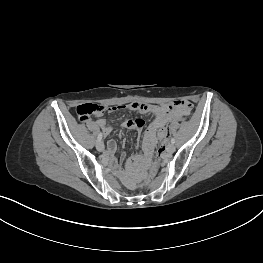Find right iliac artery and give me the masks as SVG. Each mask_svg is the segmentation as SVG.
<instances>
[{
    "label": "right iliac artery",
    "instance_id": "1",
    "mask_svg": "<svg viewBox=\"0 0 263 263\" xmlns=\"http://www.w3.org/2000/svg\"><path fill=\"white\" fill-rule=\"evenodd\" d=\"M101 139H102V134L99 133V134H98V137H97V140L100 141Z\"/></svg>",
    "mask_w": 263,
    "mask_h": 263
}]
</instances>
